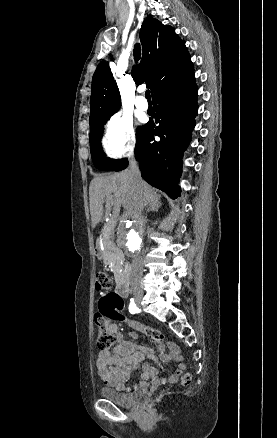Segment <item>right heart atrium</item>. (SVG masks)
<instances>
[{
	"label": "right heart atrium",
	"mask_w": 277,
	"mask_h": 438,
	"mask_svg": "<svg viewBox=\"0 0 277 438\" xmlns=\"http://www.w3.org/2000/svg\"><path fill=\"white\" fill-rule=\"evenodd\" d=\"M108 146L119 155L129 154L136 145L132 120L125 112H117L106 126Z\"/></svg>",
	"instance_id": "obj_1"
}]
</instances>
